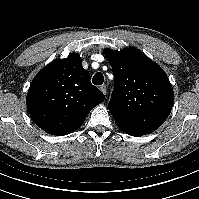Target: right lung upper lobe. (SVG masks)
I'll return each mask as SVG.
<instances>
[{"label":"right lung upper lobe","instance_id":"cb5924a9","mask_svg":"<svg viewBox=\"0 0 199 199\" xmlns=\"http://www.w3.org/2000/svg\"><path fill=\"white\" fill-rule=\"evenodd\" d=\"M105 96L90 82L78 54L55 60L38 72L27 93V109L42 130L67 135L82 126Z\"/></svg>","mask_w":199,"mask_h":199}]
</instances>
